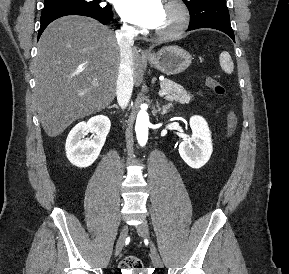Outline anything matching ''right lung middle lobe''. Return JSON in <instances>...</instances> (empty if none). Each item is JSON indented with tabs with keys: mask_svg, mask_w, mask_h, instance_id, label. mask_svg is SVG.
<instances>
[{
	"mask_svg": "<svg viewBox=\"0 0 289 274\" xmlns=\"http://www.w3.org/2000/svg\"><path fill=\"white\" fill-rule=\"evenodd\" d=\"M104 0H45L42 14L63 9H81L99 14L111 12V6Z\"/></svg>",
	"mask_w": 289,
	"mask_h": 274,
	"instance_id": "1",
	"label": "right lung middle lobe"
}]
</instances>
